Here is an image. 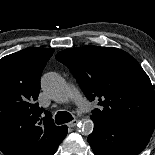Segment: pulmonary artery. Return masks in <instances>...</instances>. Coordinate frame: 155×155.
<instances>
[{
	"mask_svg": "<svg viewBox=\"0 0 155 155\" xmlns=\"http://www.w3.org/2000/svg\"><path fill=\"white\" fill-rule=\"evenodd\" d=\"M72 91L75 95L76 104L82 111H87L91 108L89 102L82 96L76 87L72 86Z\"/></svg>",
	"mask_w": 155,
	"mask_h": 155,
	"instance_id": "obj_1",
	"label": "pulmonary artery"
}]
</instances>
